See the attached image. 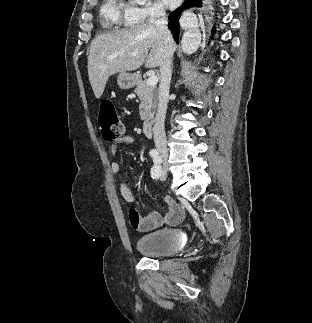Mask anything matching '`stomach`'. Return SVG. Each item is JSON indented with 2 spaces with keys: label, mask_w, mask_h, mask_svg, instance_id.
<instances>
[{
  "label": "stomach",
  "mask_w": 312,
  "mask_h": 323,
  "mask_svg": "<svg viewBox=\"0 0 312 323\" xmlns=\"http://www.w3.org/2000/svg\"><path fill=\"white\" fill-rule=\"evenodd\" d=\"M139 76L137 74H128V72H120L117 76V84L121 90H129L138 84Z\"/></svg>",
  "instance_id": "1"
}]
</instances>
